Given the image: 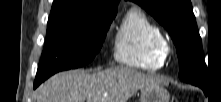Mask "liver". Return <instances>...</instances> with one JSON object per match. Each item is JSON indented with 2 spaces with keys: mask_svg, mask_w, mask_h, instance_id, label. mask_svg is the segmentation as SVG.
Masks as SVG:
<instances>
[{
  "mask_svg": "<svg viewBox=\"0 0 221 102\" xmlns=\"http://www.w3.org/2000/svg\"><path fill=\"white\" fill-rule=\"evenodd\" d=\"M162 80L128 67L98 73L71 70L49 78L37 93V102H127L138 90Z\"/></svg>",
  "mask_w": 221,
  "mask_h": 102,
  "instance_id": "liver-1",
  "label": "liver"
}]
</instances>
